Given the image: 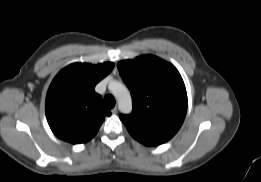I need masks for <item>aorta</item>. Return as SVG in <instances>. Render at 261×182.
I'll list each match as a JSON object with an SVG mask.
<instances>
[{
	"instance_id": "aorta-1",
	"label": "aorta",
	"mask_w": 261,
	"mask_h": 182,
	"mask_svg": "<svg viewBox=\"0 0 261 182\" xmlns=\"http://www.w3.org/2000/svg\"><path fill=\"white\" fill-rule=\"evenodd\" d=\"M108 87L118 101L119 110L129 114L132 111V98L127 87L119 81H111Z\"/></svg>"
}]
</instances>
